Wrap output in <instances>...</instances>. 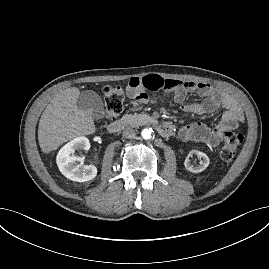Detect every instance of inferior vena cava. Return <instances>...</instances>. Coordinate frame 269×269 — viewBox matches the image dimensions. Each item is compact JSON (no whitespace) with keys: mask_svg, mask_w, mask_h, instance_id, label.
Here are the masks:
<instances>
[{"mask_svg":"<svg viewBox=\"0 0 269 269\" xmlns=\"http://www.w3.org/2000/svg\"><path fill=\"white\" fill-rule=\"evenodd\" d=\"M122 134L124 138H127V139L134 138L135 130L131 127H127L123 130Z\"/></svg>","mask_w":269,"mask_h":269,"instance_id":"obj_1","label":"inferior vena cava"}]
</instances>
